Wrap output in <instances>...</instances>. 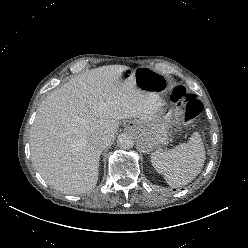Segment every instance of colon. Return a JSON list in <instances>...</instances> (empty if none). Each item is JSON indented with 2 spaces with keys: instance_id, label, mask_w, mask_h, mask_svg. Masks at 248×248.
<instances>
[{
  "instance_id": "1",
  "label": "colon",
  "mask_w": 248,
  "mask_h": 248,
  "mask_svg": "<svg viewBox=\"0 0 248 248\" xmlns=\"http://www.w3.org/2000/svg\"><path fill=\"white\" fill-rule=\"evenodd\" d=\"M172 99L181 102V114L184 122L191 124L201 112V103L188 94L184 87H177L172 91Z\"/></svg>"
}]
</instances>
